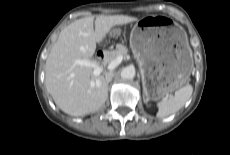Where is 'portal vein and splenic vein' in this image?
Wrapping results in <instances>:
<instances>
[{"label": "portal vein and splenic vein", "instance_id": "18ae733b", "mask_svg": "<svg viewBox=\"0 0 230 155\" xmlns=\"http://www.w3.org/2000/svg\"><path fill=\"white\" fill-rule=\"evenodd\" d=\"M122 60H123V56L121 55L117 56L115 59L109 62L107 69L110 71L114 70L122 62ZM74 63L77 65L86 66L93 69V75L95 76L100 75L104 70V68L100 66L99 63L96 61H91L86 59H76L74 60Z\"/></svg>", "mask_w": 230, "mask_h": 155}]
</instances>
